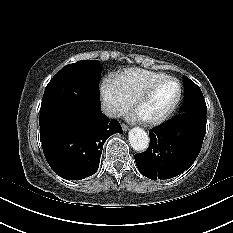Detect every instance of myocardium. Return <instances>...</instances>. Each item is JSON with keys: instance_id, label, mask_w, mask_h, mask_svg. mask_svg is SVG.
Here are the masks:
<instances>
[{"instance_id": "1", "label": "myocardium", "mask_w": 233, "mask_h": 233, "mask_svg": "<svg viewBox=\"0 0 233 233\" xmlns=\"http://www.w3.org/2000/svg\"><path fill=\"white\" fill-rule=\"evenodd\" d=\"M163 81H172L176 84V88H177V93H176V97L174 99V101L172 102V104L168 107V109L161 114L160 116L153 118V119H143L141 118V121L147 125V126H156V125H160L161 123H163L164 121H166L171 115L172 113L176 110L177 106L180 103L181 100V96H182V87L181 84L179 82L178 79H176L175 77L172 76H162L159 77L155 80H153L152 82H150L147 86H145L133 99V110L136 112L137 111V107L139 105V103L145 99L148 94L151 92V90L160 82Z\"/></svg>"}]
</instances>
